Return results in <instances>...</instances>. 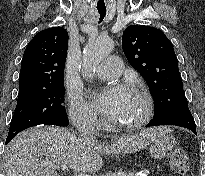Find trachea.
<instances>
[{"label": "trachea", "instance_id": "trachea-1", "mask_svg": "<svg viewBox=\"0 0 205 176\" xmlns=\"http://www.w3.org/2000/svg\"><path fill=\"white\" fill-rule=\"evenodd\" d=\"M98 13L100 15L99 17V23L102 22V20L104 19L105 15H106V10H99L98 9Z\"/></svg>", "mask_w": 205, "mask_h": 176}]
</instances>
